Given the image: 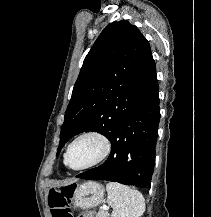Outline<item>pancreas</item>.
Here are the masks:
<instances>
[{"instance_id":"pancreas-1","label":"pancreas","mask_w":211,"mask_h":217,"mask_svg":"<svg viewBox=\"0 0 211 217\" xmlns=\"http://www.w3.org/2000/svg\"><path fill=\"white\" fill-rule=\"evenodd\" d=\"M96 217H107V212L104 211L103 209H101L98 213Z\"/></svg>"}]
</instances>
